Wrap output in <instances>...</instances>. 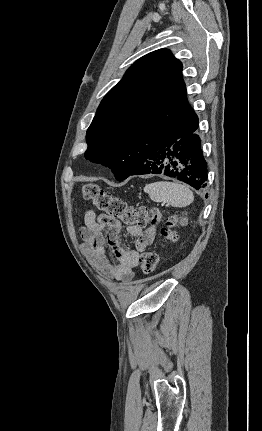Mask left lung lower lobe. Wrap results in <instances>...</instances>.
Segmentation results:
<instances>
[{"mask_svg":"<svg viewBox=\"0 0 262 431\" xmlns=\"http://www.w3.org/2000/svg\"><path fill=\"white\" fill-rule=\"evenodd\" d=\"M198 120L179 129L136 160L131 175L164 174L196 190L206 187L207 163L197 134Z\"/></svg>","mask_w":262,"mask_h":431,"instance_id":"1","label":"left lung lower lobe"}]
</instances>
